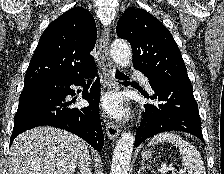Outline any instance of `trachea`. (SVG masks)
I'll return each instance as SVG.
<instances>
[{
  "label": "trachea",
  "mask_w": 224,
  "mask_h": 174,
  "mask_svg": "<svg viewBox=\"0 0 224 174\" xmlns=\"http://www.w3.org/2000/svg\"><path fill=\"white\" fill-rule=\"evenodd\" d=\"M115 78H118L120 80H129L130 78L127 75H124L120 71H116Z\"/></svg>",
  "instance_id": "1"
}]
</instances>
